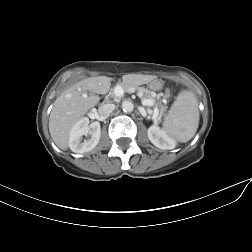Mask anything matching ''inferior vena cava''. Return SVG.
<instances>
[{
  "instance_id": "obj_1",
  "label": "inferior vena cava",
  "mask_w": 252,
  "mask_h": 252,
  "mask_svg": "<svg viewBox=\"0 0 252 252\" xmlns=\"http://www.w3.org/2000/svg\"><path fill=\"white\" fill-rule=\"evenodd\" d=\"M115 109L114 104H104L98 108V113L102 118H107Z\"/></svg>"
}]
</instances>
